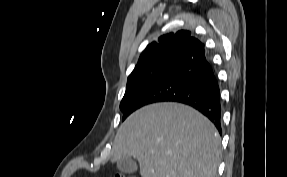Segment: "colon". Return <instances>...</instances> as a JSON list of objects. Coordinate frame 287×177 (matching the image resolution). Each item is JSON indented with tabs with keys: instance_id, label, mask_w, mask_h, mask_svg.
Masks as SVG:
<instances>
[{
	"instance_id": "1",
	"label": "colon",
	"mask_w": 287,
	"mask_h": 177,
	"mask_svg": "<svg viewBox=\"0 0 287 177\" xmlns=\"http://www.w3.org/2000/svg\"><path fill=\"white\" fill-rule=\"evenodd\" d=\"M114 177H127V176H125L124 174H116Z\"/></svg>"
}]
</instances>
